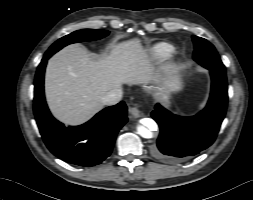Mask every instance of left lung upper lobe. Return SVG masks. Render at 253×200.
Returning a JSON list of instances; mask_svg holds the SVG:
<instances>
[{"mask_svg":"<svg viewBox=\"0 0 253 200\" xmlns=\"http://www.w3.org/2000/svg\"><path fill=\"white\" fill-rule=\"evenodd\" d=\"M194 42V60L209 70H216L226 73L225 66L223 65L220 57L218 56L214 46L207 40L192 36Z\"/></svg>","mask_w":253,"mask_h":200,"instance_id":"obj_1","label":"left lung upper lobe"}]
</instances>
